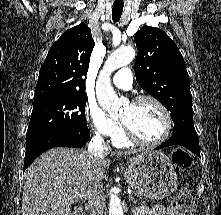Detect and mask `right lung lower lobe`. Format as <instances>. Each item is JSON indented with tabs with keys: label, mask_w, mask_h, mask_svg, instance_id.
I'll return each instance as SVG.
<instances>
[{
	"label": "right lung lower lobe",
	"mask_w": 221,
	"mask_h": 215,
	"mask_svg": "<svg viewBox=\"0 0 221 215\" xmlns=\"http://www.w3.org/2000/svg\"><path fill=\"white\" fill-rule=\"evenodd\" d=\"M90 138V130L74 134L45 133L26 140L24 170L43 152L53 147H82Z\"/></svg>",
	"instance_id": "98d812e1"
}]
</instances>
